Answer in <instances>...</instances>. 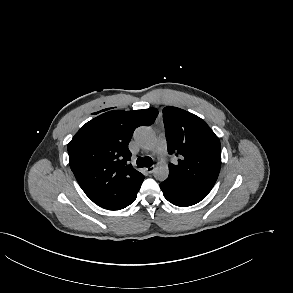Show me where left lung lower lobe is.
<instances>
[{"label":"left lung lower lobe","instance_id":"obj_1","mask_svg":"<svg viewBox=\"0 0 293 293\" xmlns=\"http://www.w3.org/2000/svg\"><path fill=\"white\" fill-rule=\"evenodd\" d=\"M164 197L172 204L180 207L194 205L204 199L212 188L195 187L178 180L166 179L160 184Z\"/></svg>","mask_w":293,"mask_h":293}]
</instances>
